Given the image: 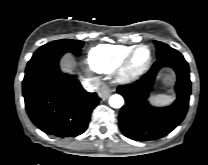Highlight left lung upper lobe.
Wrapping results in <instances>:
<instances>
[{
  "label": "left lung upper lobe",
  "instance_id": "5c2ea615",
  "mask_svg": "<svg viewBox=\"0 0 208 165\" xmlns=\"http://www.w3.org/2000/svg\"><path fill=\"white\" fill-rule=\"evenodd\" d=\"M154 43H155L156 48H157V58H159L160 56H162V55H164V54H166L170 51L175 50V49L171 48L170 46H168L165 43L158 42V41H155Z\"/></svg>",
  "mask_w": 208,
  "mask_h": 165
}]
</instances>
